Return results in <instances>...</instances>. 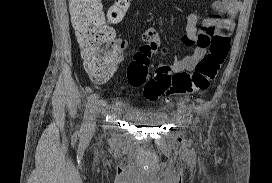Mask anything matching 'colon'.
<instances>
[{"mask_svg":"<svg viewBox=\"0 0 272 183\" xmlns=\"http://www.w3.org/2000/svg\"><path fill=\"white\" fill-rule=\"evenodd\" d=\"M102 0H69L71 21L87 72L93 79H106L119 64V55L114 46L111 24L121 23L130 7L131 0H115L107 13L102 10ZM209 39V52L191 72L173 73L169 67L149 71L152 53L159 44H145L135 54L127 69L129 83L143 89L149 101L162 96L186 95L205 91L224 64L229 50L228 35H214Z\"/></svg>","mask_w":272,"mask_h":183,"instance_id":"obj_1","label":"colon"}]
</instances>
